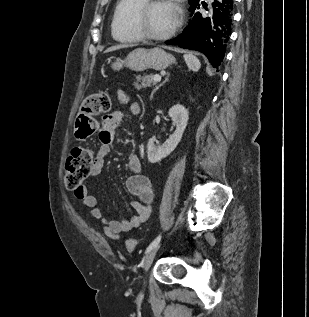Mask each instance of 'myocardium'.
Segmentation results:
<instances>
[{"label":"myocardium","mask_w":309,"mask_h":317,"mask_svg":"<svg viewBox=\"0 0 309 317\" xmlns=\"http://www.w3.org/2000/svg\"><path fill=\"white\" fill-rule=\"evenodd\" d=\"M165 0H145L136 10L134 17V26L139 35L146 40L151 41H164L171 38L179 30L182 24V17L180 13H177V20L175 25L165 34L157 35L149 32L145 26V18L149 10L158 3Z\"/></svg>","instance_id":"obj_1"}]
</instances>
